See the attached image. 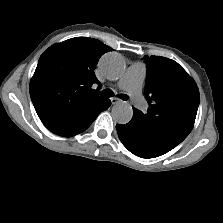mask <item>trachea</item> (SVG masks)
<instances>
[{"label": "trachea", "mask_w": 223, "mask_h": 223, "mask_svg": "<svg viewBox=\"0 0 223 223\" xmlns=\"http://www.w3.org/2000/svg\"><path fill=\"white\" fill-rule=\"evenodd\" d=\"M103 97H113L114 96V93L111 89H105L103 91H101L100 93ZM117 97H119L120 99L126 101L128 100V95L126 94H118Z\"/></svg>", "instance_id": "trachea-1"}]
</instances>
